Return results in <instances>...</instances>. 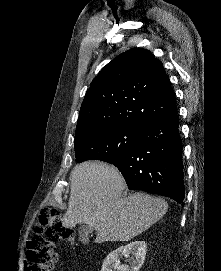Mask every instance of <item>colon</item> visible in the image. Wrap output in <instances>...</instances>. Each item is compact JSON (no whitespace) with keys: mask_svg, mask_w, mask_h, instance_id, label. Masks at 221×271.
Returning a JSON list of instances; mask_svg holds the SVG:
<instances>
[{"mask_svg":"<svg viewBox=\"0 0 221 271\" xmlns=\"http://www.w3.org/2000/svg\"><path fill=\"white\" fill-rule=\"evenodd\" d=\"M77 234L62 221L57 207H44L39 224L27 242L23 258L24 271H53L58 259L54 241L73 240Z\"/></svg>","mask_w":221,"mask_h":271,"instance_id":"1","label":"colon"}]
</instances>
